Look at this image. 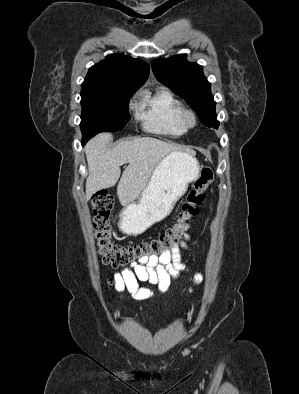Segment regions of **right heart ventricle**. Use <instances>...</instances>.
<instances>
[{"instance_id": "right-heart-ventricle-1", "label": "right heart ventricle", "mask_w": 299, "mask_h": 394, "mask_svg": "<svg viewBox=\"0 0 299 394\" xmlns=\"http://www.w3.org/2000/svg\"><path fill=\"white\" fill-rule=\"evenodd\" d=\"M183 109L180 100L169 90L159 88L152 93H143L137 117L144 129L150 133L179 137L186 132L180 120Z\"/></svg>"}]
</instances>
